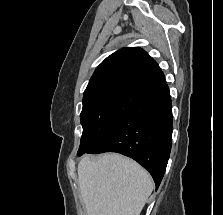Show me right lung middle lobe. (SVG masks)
Listing matches in <instances>:
<instances>
[{"instance_id":"obj_1","label":"right lung middle lobe","mask_w":223,"mask_h":215,"mask_svg":"<svg viewBox=\"0 0 223 215\" xmlns=\"http://www.w3.org/2000/svg\"><path fill=\"white\" fill-rule=\"evenodd\" d=\"M144 96L127 91L106 92L83 102L80 121L83 127L77 155L90 150L113 125Z\"/></svg>"}]
</instances>
